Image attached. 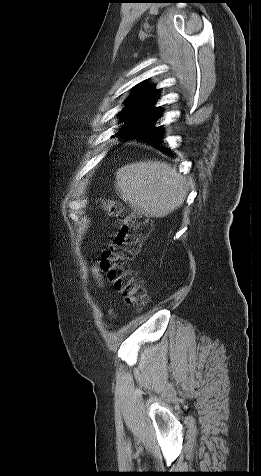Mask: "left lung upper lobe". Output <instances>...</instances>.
Listing matches in <instances>:
<instances>
[{
	"instance_id": "5c2ea615",
	"label": "left lung upper lobe",
	"mask_w": 261,
	"mask_h": 476,
	"mask_svg": "<svg viewBox=\"0 0 261 476\" xmlns=\"http://www.w3.org/2000/svg\"><path fill=\"white\" fill-rule=\"evenodd\" d=\"M158 90L153 87L142 86L127 101L125 107L120 112L124 117L122 121L125 127L132 122L152 120L158 118L159 110L153 108Z\"/></svg>"
}]
</instances>
